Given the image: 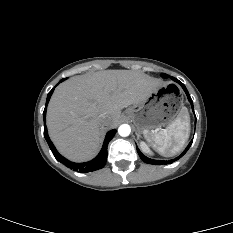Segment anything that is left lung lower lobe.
<instances>
[{"mask_svg":"<svg viewBox=\"0 0 233 233\" xmlns=\"http://www.w3.org/2000/svg\"><path fill=\"white\" fill-rule=\"evenodd\" d=\"M172 80L176 81L178 84L181 85V87H182L183 90L185 91V93H186V95H187V97H188V100H189V102L191 103V106H192V109H193V101H192V99H191V97H190V95H189V93H188V91H187L185 85H184L182 82H180L179 80H177L176 78H173V77H172ZM193 111H194V109H193ZM192 142H193V140H191V142L189 143V145L186 147V149L182 152V154H181L180 156H178V157L175 158V159L169 160V161H161V160L150 159V158L144 156V155L140 152V150L138 149V147H137V152H138L140 158H141L144 162H146V163H148V164H154V165H163V164H164V165H167V164H171V163H173L175 160H178L179 158H181V157L188 151V149L190 148Z\"/></svg>","mask_w":233,"mask_h":233,"instance_id":"obj_1","label":"left lung lower lobe"}]
</instances>
